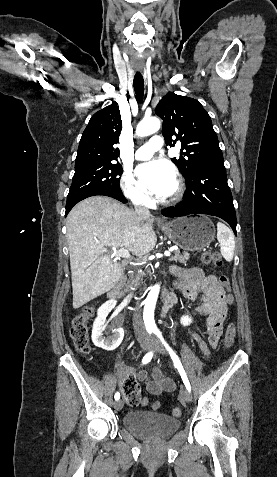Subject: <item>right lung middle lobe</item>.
I'll return each mask as SVG.
<instances>
[{"mask_svg":"<svg viewBox=\"0 0 277 477\" xmlns=\"http://www.w3.org/2000/svg\"><path fill=\"white\" fill-rule=\"evenodd\" d=\"M123 169L120 164L92 163L75 167L66 208L97 192L122 193L118 178Z\"/></svg>","mask_w":277,"mask_h":477,"instance_id":"right-lung-middle-lobe-1","label":"right lung middle lobe"}]
</instances>
